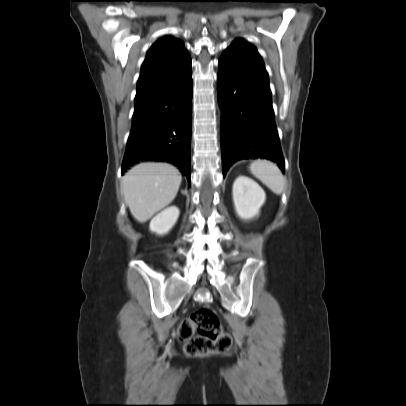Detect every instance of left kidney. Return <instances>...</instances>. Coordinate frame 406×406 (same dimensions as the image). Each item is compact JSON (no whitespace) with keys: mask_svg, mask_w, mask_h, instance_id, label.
Instances as JSON below:
<instances>
[{"mask_svg":"<svg viewBox=\"0 0 406 406\" xmlns=\"http://www.w3.org/2000/svg\"><path fill=\"white\" fill-rule=\"evenodd\" d=\"M233 203L237 215L243 220H250L259 215L265 203L264 190L252 179L239 176L233 183Z\"/></svg>","mask_w":406,"mask_h":406,"instance_id":"left-kidney-1","label":"left kidney"}]
</instances>
